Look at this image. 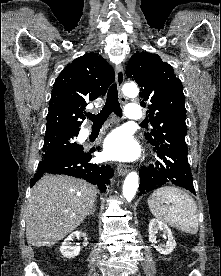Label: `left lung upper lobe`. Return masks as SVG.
<instances>
[{"label":"left lung upper lobe","instance_id":"5c2ea615","mask_svg":"<svg viewBox=\"0 0 221 276\" xmlns=\"http://www.w3.org/2000/svg\"><path fill=\"white\" fill-rule=\"evenodd\" d=\"M126 75L141 87V105L147 107L153 129L145 138L155 147L188 150L185 143L186 109L182 83L173 68L157 54L135 53L129 60Z\"/></svg>","mask_w":221,"mask_h":276}]
</instances>
